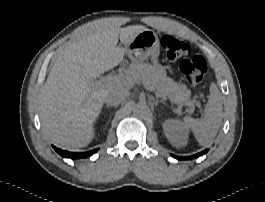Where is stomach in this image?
I'll list each match as a JSON object with an SVG mask.
<instances>
[{
    "instance_id": "stomach-1",
    "label": "stomach",
    "mask_w": 265,
    "mask_h": 202,
    "mask_svg": "<svg viewBox=\"0 0 265 202\" xmlns=\"http://www.w3.org/2000/svg\"><path fill=\"white\" fill-rule=\"evenodd\" d=\"M159 52L160 43L158 36L150 29L137 34L127 46V54L131 60L141 62L150 57L154 67L164 71V68L158 65Z\"/></svg>"
}]
</instances>
